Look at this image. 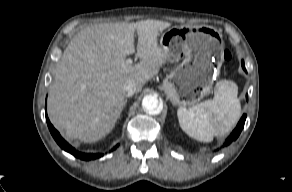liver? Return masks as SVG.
Segmentation results:
<instances>
[{
    "label": "liver",
    "instance_id": "6515ba94",
    "mask_svg": "<svg viewBox=\"0 0 292 192\" xmlns=\"http://www.w3.org/2000/svg\"><path fill=\"white\" fill-rule=\"evenodd\" d=\"M170 26L148 19L91 25L78 32L66 47L50 87L52 124L67 137L87 143L109 134L126 104L124 84L134 83L139 92L166 63L168 54L157 36ZM135 51L140 61L126 63Z\"/></svg>",
    "mask_w": 292,
    "mask_h": 192
}]
</instances>
